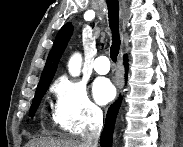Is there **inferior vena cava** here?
Returning <instances> with one entry per match:
<instances>
[{
    "instance_id": "1",
    "label": "inferior vena cava",
    "mask_w": 183,
    "mask_h": 147,
    "mask_svg": "<svg viewBox=\"0 0 183 147\" xmlns=\"http://www.w3.org/2000/svg\"><path fill=\"white\" fill-rule=\"evenodd\" d=\"M103 125V114L96 110L89 127L82 134V140L86 147H97L98 139Z\"/></svg>"
}]
</instances>
